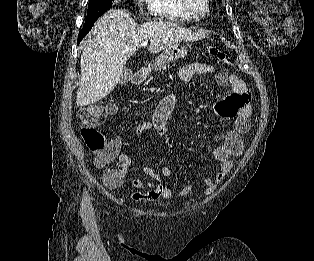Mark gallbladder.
I'll return each mask as SVG.
<instances>
[{"instance_id":"bac80fb5","label":"gallbladder","mask_w":314,"mask_h":261,"mask_svg":"<svg viewBox=\"0 0 314 261\" xmlns=\"http://www.w3.org/2000/svg\"><path fill=\"white\" fill-rule=\"evenodd\" d=\"M133 72L130 68H125L121 74L119 84L125 85L127 84L132 78Z\"/></svg>"}]
</instances>
